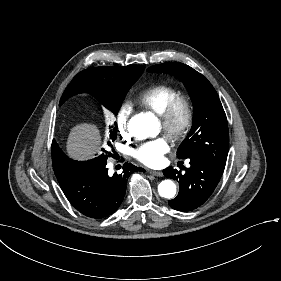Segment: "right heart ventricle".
I'll return each instance as SVG.
<instances>
[{"mask_svg":"<svg viewBox=\"0 0 281 281\" xmlns=\"http://www.w3.org/2000/svg\"><path fill=\"white\" fill-rule=\"evenodd\" d=\"M181 95L182 92L178 88L169 85H156L142 91L136 97V103L157 115L173 98Z\"/></svg>","mask_w":281,"mask_h":281,"instance_id":"obj_1","label":"right heart ventricle"}]
</instances>
